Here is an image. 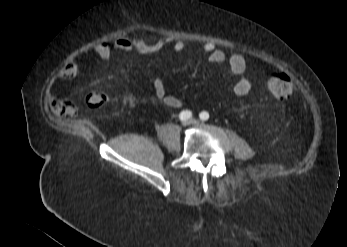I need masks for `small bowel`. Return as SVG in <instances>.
Returning a JSON list of instances; mask_svg holds the SVG:
<instances>
[{
	"label": "small bowel",
	"instance_id": "c3829d8e",
	"mask_svg": "<svg viewBox=\"0 0 347 247\" xmlns=\"http://www.w3.org/2000/svg\"><path fill=\"white\" fill-rule=\"evenodd\" d=\"M114 47L122 51H133L141 55L156 54L166 47H172L174 52H181L185 48V42L175 38H162L150 40L145 36H122L114 41ZM102 60L111 57V47L106 42H100L92 47ZM203 52L207 55L208 61L212 64L220 65L227 63L228 72L232 77H236L231 85V91L237 96L247 95L252 89V82L246 76L247 63L242 54L236 51H226L219 48L212 42L202 45ZM79 68L76 63L66 64L60 71V76L67 79L77 77ZM152 89L155 96L169 108H179L183 105L181 99L173 95L166 94V85L162 79L156 78L152 81ZM51 111L64 118L73 117L77 113L76 106L69 100L54 98L50 102Z\"/></svg>",
	"mask_w": 347,
	"mask_h": 247
}]
</instances>
